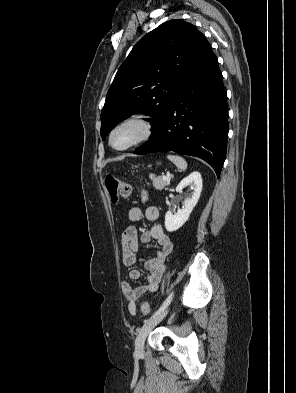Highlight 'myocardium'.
<instances>
[{
  "mask_svg": "<svg viewBox=\"0 0 296 393\" xmlns=\"http://www.w3.org/2000/svg\"><path fill=\"white\" fill-rule=\"evenodd\" d=\"M128 124L138 125L141 129L140 134L128 145L121 147V148L115 147L112 144V136H113L114 132L116 130H118L119 128H121L125 125H128ZM153 133H154V123H153L151 117L149 115L143 114V113H134V114L128 115L125 118L121 119L111 128V130L108 134V143H109L110 147L116 151H125V150L131 149V148L147 141L148 139H150V137L153 135Z\"/></svg>",
  "mask_w": 296,
  "mask_h": 393,
  "instance_id": "myocardium-1",
  "label": "myocardium"
}]
</instances>
